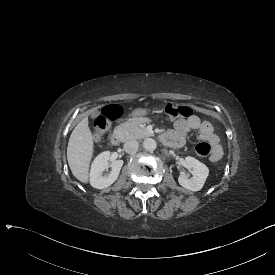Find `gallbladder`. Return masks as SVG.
Returning <instances> with one entry per match:
<instances>
[{"instance_id": "1", "label": "gallbladder", "mask_w": 275, "mask_h": 275, "mask_svg": "<svg viewBox=\"0 0 275 275\" xmlns=\"http://www.w3.org/2000/svg\"><path fill=\"white\" fill-rule=\"evenodd\" d=\"M101 115L100 110H95L90 114V118L96 120Z\"/></svg>"}]
</instances>
